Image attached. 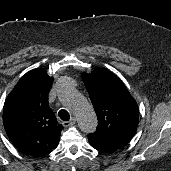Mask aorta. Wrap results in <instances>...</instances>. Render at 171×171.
Segmentation results:
<instances>
[{"label":"aorta","mask_w":171,"mask_h":171,"mask_svg":"<svg viewBox=\"0 0 171 171\" xmlns=\"http://www.w3.org/2000/svg\"><path fill=\"white\" fill-rule=\"evenodd\" d=\"M59 99L75 115L78 127L84 133H92L97 127V117L90 103L73 87L64 86Z\"/></svg>","instance_id":"obj_1"}]
</instances>
